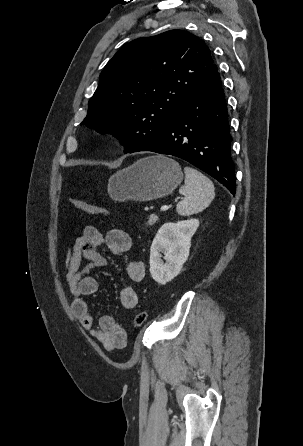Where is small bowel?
Masks as SVG:
<instances>
[{
  "instance_id": "obj_1",
  "label": "small bowel",
  "mask_w": 303,
  "mask_h": 446,
  "mask_svg": "<svg viewBox=\"0 0 303 446\" xmlns=\"http://www.w3.org/2000/svg\"><path fill=\"white\" fill-rule=\"evenodd\" d=\"M103 243L112 253L121 255L131 248L132 240L130 235L122 229H111L103 236L98 228L88 225L73 246L67 249L64 267L66 281L72 296L73 314L107 351H114L126 347L127 333L125 329L113 316L108 314L100 316L95 325L85 300V297L93 295L99 289L98 280L90 273L93 269L103 267L107 263L106 258L98 252ZM83 260L86 261L84 265H82ZM126 271L131 282H140L146 274L145 264L138 259L131 260L127 264ZM120 302L128 310L137 306L138 297L132 286L127 285L121 289Z\"/></svg>"
}]
</instances>
